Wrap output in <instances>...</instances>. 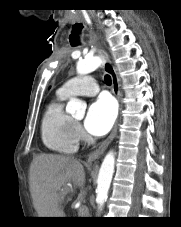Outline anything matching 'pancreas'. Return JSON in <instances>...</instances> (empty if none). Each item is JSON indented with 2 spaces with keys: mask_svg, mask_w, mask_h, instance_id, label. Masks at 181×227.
Returning <instances> with one entry per match:
<instances>
[{
  "mask_svg": "<svg viewBox=\"0 0 181 227\" xmlns=\"http://www.w3.org/2000/svg\"><path fill=\"white\" fill-rule=\"evenodd\" d=\"M86 211L85 212H82L81 209L79 208V211H78V217H86Z\"/></svg>",
  "mask_w": 181,
  "mask_h": 227,
  "instance_id": "cf45deb5",
  "label": "pancreas"
}]
</instances>
